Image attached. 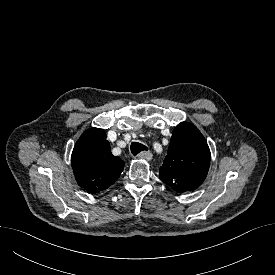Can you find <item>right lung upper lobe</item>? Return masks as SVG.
<instances>
[{
	"label": "right lung upper lobe",
	"mask_w": 275,
	"mask_h": 275,
	"mask_svg": "<svg viewBox=\"0 0 275 275\" xmlns=\"http://www.w3.org/2000/svg\"><path fill=\"white\" fill-rule=\"evenodd\" d=\"M71 163L77 183L90 193L110 187L124 168V161L111 153L105 131L94 127L76 142Z\"/></svg>",
	"instance_id": "obj_1"
}]
</instances>
